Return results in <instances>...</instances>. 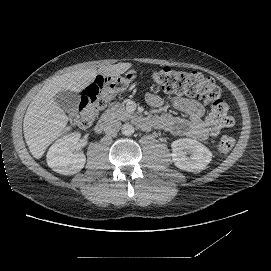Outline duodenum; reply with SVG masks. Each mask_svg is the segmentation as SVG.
Listing matches in <instances>:
<instances>
[{"label":"duodenum","mask_w":271,"mask_h":271,"mask_svg":"<svg viewBox=\"0 0 271 271\" xmlns=\"http://www.w3.org/2000/svg\"><path fill=\"white\" fill-rule=\"evenodd\" d=\"M115 130L116 124L108 115L102 116L95 124V131L98 133L111 134Z\"/></svg>","instance_id":"1"}]
</instances>
